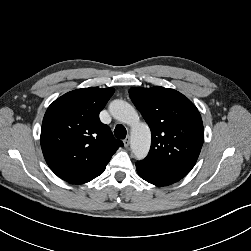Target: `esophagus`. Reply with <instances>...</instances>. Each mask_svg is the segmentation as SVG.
Instances as JSON below:
<instances>
[{
	"label": "esophagus",
	"mask_w": 251,
	"mask_h": 251,
	"mask_svg": "<svg viewBox=\"0 0 251 251\" xmlns=\"http://www.w3.org/2000/svg\"><path fill=\"white\" fill-rule=\"evenodd\" d=\"M123 143H124V146H125V147H128L129 144H130V139H129V137L125 138L124 141H123Z\"/></svg>",
	"instance_id": "esophagus-1"
}]
</instances>
